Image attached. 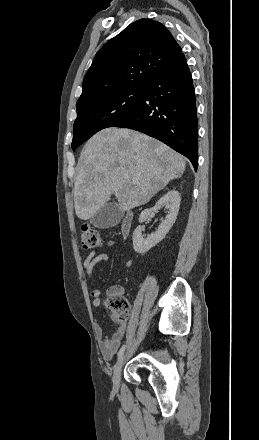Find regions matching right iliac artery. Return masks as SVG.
Instances as JSON below:
<instances>
[{
	"mask_svg": "<svg viewBox=\"0 0 259 440\" xmlns=\"http://www.w3.org/2000/svg\"><path fill=\"white\" fill-rule=\"evenodd\" d=\"M124 350H125V345H123V346L121 347V349L119 350V352H118V358H120V357L122 356V354L124 353Z\"/></svg>",
	"mask_w": 259,
	"mask_h": 440,
	"instance_id": "obj_1",
	"label": "right iliac artery"
}]
</instances>
